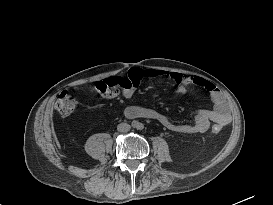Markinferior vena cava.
<instances>
[{
    "instance_id": "inferior-vena-cava-1",
    "label": "inferior vena cava",
    "mask_w": 273,
    "mask_h": 205,
    "mask_svg": "<svg viewBox=\"0 0 273 205\" xmlns=\"http://www.w3.org/2000/svg\"><path fill=\"white\" fill-rule=\"evenodd\" d=\"M130 125L129 124H127V123H120V124H118V126H117V130L119 131V132H127V131H129L130 130Z\"/></svg>"
}]
</instances>
